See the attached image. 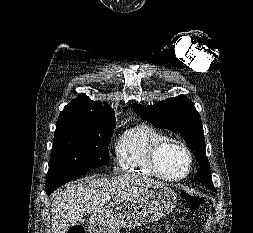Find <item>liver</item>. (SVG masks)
Listing matches in <instances>:
<instances>
[{"label": "liver", "instance_id": "obj_1", "mask_svg": "<svg viewBox=\"0 0 253 233\" xmlns=\"http://www.w3.org/2000/svg\"><path fill=\"white\" fill-rule=\"evenodd\" d=\"M159 185L158 181L137 174H124L111 179L87 177L67 185L52 202V233H65L87 213L106 211V196H111L110 206H114Z\"/></svg>", "mask_w": 253, "mask_h": 233}]
</instances>
